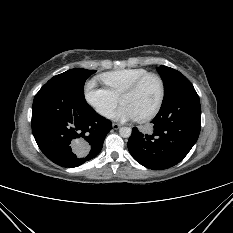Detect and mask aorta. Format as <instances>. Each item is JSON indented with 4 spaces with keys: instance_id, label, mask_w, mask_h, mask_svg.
<instances>
[{
    "instance_id": "aorta-1",
    "label": "aorta",
    "mask_w": 233,
    "mask_h": 233,
    "mask_svg": "<svg viewBox=\"0 0 233 233\" xmlns=\"http://www.w3.org/2000/svg\"><path fill=\"white\" fill-rule=\"evenodd\" d=\"M132 130L130 127H121L119 129V134L123 138H128L131 136Z\"/></svg>"
}]
</instances>
